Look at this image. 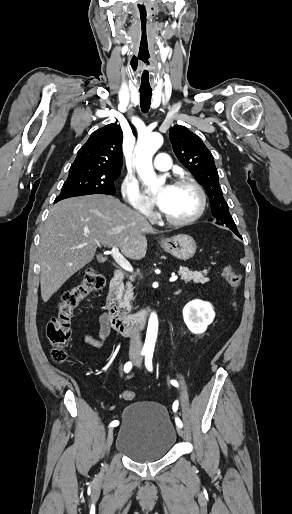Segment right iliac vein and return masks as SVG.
<instances>
[{
	"label": "right iliac vein",
	"mask_w": 292,
	"mask_h": 514,
	"mask_svg": "<svg viewBox=\"0 0 292 514\" xmlns=\"http://www.w3.org/2000/svg\"><path fill=\"white\" fill-rule=\"evenodd\" d=\"M134 359V357H133ZM113 442V428L109 429L107 433V439H106V450L109 451L111 445Z\"/></svg>",
	"instance_id": "63e3f726"
}]
</instances>
